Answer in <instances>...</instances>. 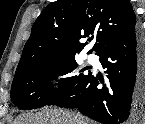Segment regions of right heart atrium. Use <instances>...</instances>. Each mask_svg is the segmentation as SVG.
I'll return each instance as SVG.
<instances>
[{
	"label": "right heart atrium",
	"instance_id": "obj_1",
	"mask_svg": "<svg viewBox=\"0 0 145 124\" xmlns=\"http://www.w3.org/2000/svg\"><path fill=\"white\" fill-rule=\"evenodd\" d=\"M61 81H62V77L60 75L54 76L52 80L50 81V87L53 90H57L59 86L61 85Z\"/></svg>",
	"mask_w": 145,
	"mask_h": 124
}]
</instances>
